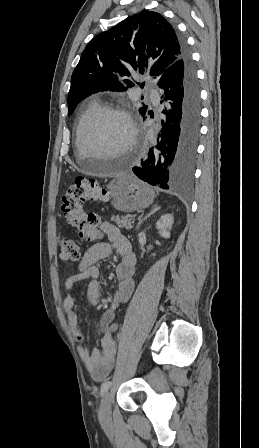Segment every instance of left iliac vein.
<instances>
[{
	"label": "left iliac vein",
	"mask_w": 259,
	"mask_h": 448,
	"mask_svg": "<svg viewBox=\"0 0 259 448\" xmlns=\"http://www.w3.org/2000/svg\"><path fill=\"white\" fill-rule=\"evenodd\" d=\"M100 417L102 422L108 423L111 420V395L109 392L102 397L100 404Z\"/></svg>",
	"instance_id": "obj_1"
}]
</instances>
